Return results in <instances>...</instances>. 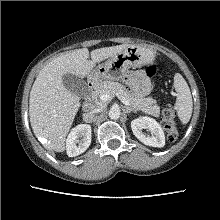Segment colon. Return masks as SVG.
Segmentation results:
<instances>
[{
    "instance_id": "1",
    "label": "colon",
    "mask_w": 220,
    "mask_h": 220,
    "mask_svg": "<svg viewBox=\"0 0 220 220\" xmlns=\"http://www.w3.org/2000/svg\"><path fill=\"white\" fill-rule=\"evenodd\" d=\"M147 73L149 76L155 75L156 68L154 66H150L147 70ZM162 125L166 131L167 140L169 142H174L178 137V131L175 122V112L172 108L164 109L162 116Z\"/></svg>"
}]
</instances>
